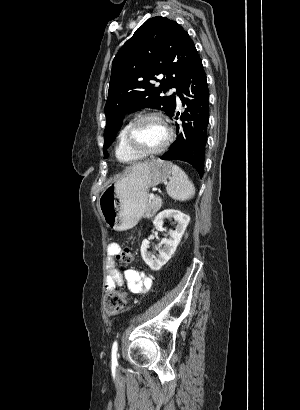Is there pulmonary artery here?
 Here are the masks:
<instances>
[{
	"label": "pulmonary artery",
	"mask_w": 300,
	"mask_h": 410,
	"mask_svg": "<svg viewBox=\"0 0 300 410\" xmlns=\"http://www.w3.org/2000/svg\"><path fill=\"white\" fill-rule=\"evenodd\" d=\"M171 92H172V93H176L177 90H176L175 88H173V89H171ZM177 103L180 104V99H179L178 96H177Z\"/></svg>",
	"instance_id": "obj_1"
}]
</instances>
